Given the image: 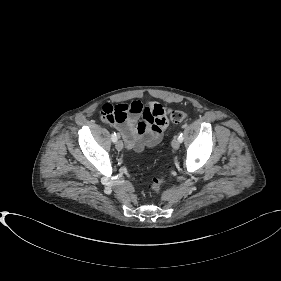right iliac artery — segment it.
<instances>
[{
	"mask_svg": "<svg viewBox=\"0 0 281 281\" xmlns=\"http://www.w3.org/2000/svg\"><path fill=\"white\" fill-rule=\"evenodd\" d=\"M111 139H112V141L113 142H116L117 141V139H118V136H117V134L114 132V133H112V135H111Z\"/></svg>",
	"mask_w": 281,
	"mask_h": 281,
	"instance_id": "right-iliac-artery-1",
	"label": "right iliac artery"
}]
</instances>
